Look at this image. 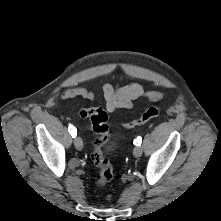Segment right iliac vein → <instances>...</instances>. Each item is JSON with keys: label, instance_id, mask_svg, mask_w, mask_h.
<instances>
[{"label": "right iliac vein", "instance_id": "1", "mask_svg": "<svg viewBox=\"0 0 221 221\" xmlns=\"http://www.w3.org/2000/svg\"><path fill=\"white\" fill-rule=\"evenodd\" d=\"M74 145L77 150H82L83 149L82 139L80 137H75L74 138Z\"/></svg>", "mask_w": 221, "mask_h": 221}]
</instances>
